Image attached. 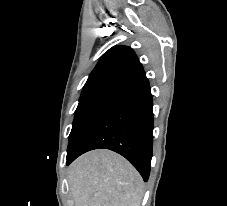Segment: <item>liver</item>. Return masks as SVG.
I'll return each instance as SVG.
<instances>
[{
	"instance_id": "obj_1",
	"label": "liver",
	"mask_w": 227,
	"mask_h": 206,
	"mask_svg": "<svg viewBox=\"0 0 227 206\" xmlns=\"http://www.w3.org/2000/svg\"><path fill=\"white\" fill-rule=\"evenodd\" d=\"M75 206H140L144 185L122 156L94 150L76 159L68 171Z\"/></svg>"
}]
</instances>
